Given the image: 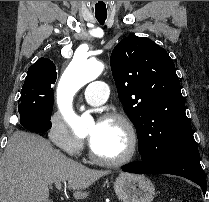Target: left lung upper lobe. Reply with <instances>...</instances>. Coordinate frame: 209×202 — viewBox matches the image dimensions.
Listing matches in <instances>:
<instances>
[{
    "instance_id": "obj_1",
    "label": "left lung upper lobe",
    "mask_w": 209,
    "mask_h": 202,
    "mask_svg": "<svg viewBox=\"0 0 209 202\" xmlns=\"http://www.w3.org/2000/svg\"><path fill=\"white\" fill-rule=\"evenodd\" d=\"M110 63L141 156L162 160L194 140L175 65L164 48L145 37H126L113 49Z\"/></svg>"
}]
</instances>
